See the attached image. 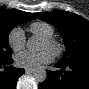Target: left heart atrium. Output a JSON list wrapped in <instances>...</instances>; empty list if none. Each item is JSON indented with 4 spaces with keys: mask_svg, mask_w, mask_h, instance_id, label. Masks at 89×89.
I'll return each mask as SVG.
<instances>
[{
    "mask_svg": "<svg viewBox=\"0 0 89 89\" xmlns=\"http://www.w3.org/2000/svg\"><path fill=\"white\" fill-rule=\"evenodd\" d=\"M53 59V52L50 49L42 50L38 53L21 52L15 56L16 64L23 68H37L41 64L49 63Z\"/></svg>",
    "mask_w": 89,
    "mask_h": 89,
    "instance_id": "obj_1",
    "label": "left heart atrium"
}]
</instances>
